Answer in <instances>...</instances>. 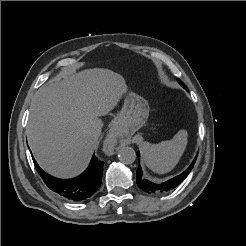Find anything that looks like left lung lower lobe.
Masks as SVG:
<instances>
[{"instance_id": "obj_1", "label": "left lung lower lobe", "mask_w": 246, "mask_h": 246, "mask_svg": "<svg viewBox=\"0 0 246 246\" xmlns=\"http://www.w3.org/2000/svg\"><path fill=\"white\" fill-rule=\"evenodd\" d=\"M137 156H140V153L137 152ZM197 156L195 157V159L193 160L192 164L180 175L165 181L164 183L161 184H156L153 182H150L146 179L143 178V173L141 170V167L139 166L136 172V181L138 186L144 190L145 192L149 193V194H161V193H165L168 192L172 189H174L176 186H178L190 173V171L193 168V165L196 161Z\"/></svg>"}]
</instances>
